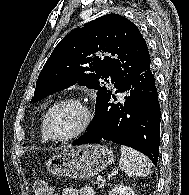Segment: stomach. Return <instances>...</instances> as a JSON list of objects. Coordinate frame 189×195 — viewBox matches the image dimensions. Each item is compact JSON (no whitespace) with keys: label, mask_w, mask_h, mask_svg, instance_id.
Instances as JSON below:
<instances>
[{"label":"stomach","mask_w":189,"mask_h":195,"mask_svg":"<svg viewBox=\"0 0 189 195\" xmlns=\"http://www.w3.org/2000/svg\"><path fill=\"white\" fill-rule=\"evenodd\" d=\"M114 159L111 149L99 144L64 148L46 162L47 170L59 176L87 179L107 168Z\"/></svg>","instance_id":"obj_1"}]
</instances>
